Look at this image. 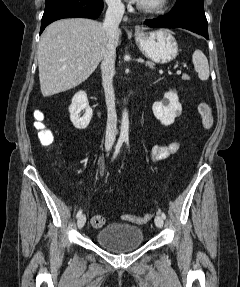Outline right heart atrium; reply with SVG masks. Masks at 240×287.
I'll return each instance as SVG.
<instances>
[{
  "instance_id": "obj_1",
  "label": "right heart atrium",
  "mask_w": 240,
  "mask_h": 287,
  "mask_svg": "<svg viewBox=\"0 0 240 287\" xmlns=\"http://www.w3.org/2000/svg\"><path fill=\"white\" fill-rule=\"evenodd\" d=\"M107 5L111 8L118 9L122 6V0H105Z\"/></svg>"
}]
</instances>
